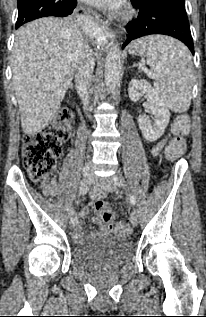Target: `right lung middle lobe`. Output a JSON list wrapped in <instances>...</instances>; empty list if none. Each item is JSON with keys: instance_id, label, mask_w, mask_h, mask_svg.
Segmentation results:
<instances>
[{"instance_id": "right-lung-middle-lobe-1", "label": "right lung middle lobe", "mask_w": 206, "mask_h": 317, "mask_svg": "<svg viewBox=\"0 0 206 317\" xmlns=\"http://www.w3.org/2000/svg\"><path fill=\"white\" fill-rule=\"evenodd\" d=\"M65 0H18L16 28L36 18L57 16V7Z\"/></svg>"}]
</instances>
